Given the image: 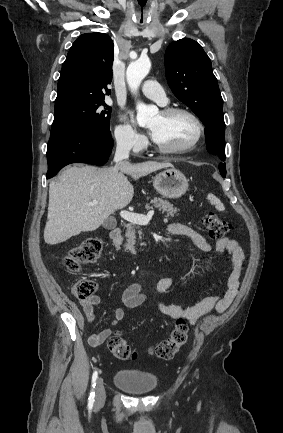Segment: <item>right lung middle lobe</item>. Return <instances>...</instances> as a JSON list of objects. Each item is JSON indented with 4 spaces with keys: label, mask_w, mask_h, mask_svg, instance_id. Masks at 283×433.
<instances>
[{
    "label": "right lung middle lobe",
    "mask_w": 283,
    "mask_h": 433,
    "mask_svg": "<svg viewBox=\"0 0 283 433\" xmlns=\"http://www.w3.org/2000/svg\"><path fill=\"white\" fill-rule=\"evenodd\" d=\"M111 107L104 100L74 105L55 111L52 130L81 128L110 136Z\"/></svg>",
    "instance_id": "1"
}]
</instances>
